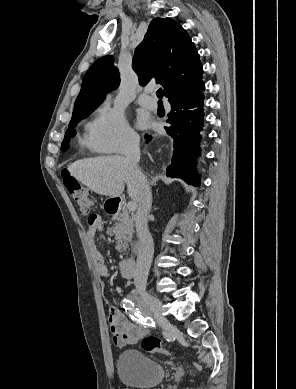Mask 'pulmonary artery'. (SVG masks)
<instances>
[{
	"label": "pulmonary artery",
	"mask_w": 296,
	"mask_h": 389,
	"mask_svg": "<svg viewBox=\"0 0 296 389\" xmlns=\"http://www.w3.org/2000/svg\"><path fill=\"white\" fill-rule=\"evenodd\" d=\"M151 89H145L142 94L138 97V102L143 107L149 108V109H155L156 108V100L153 96H151Z\"/></svg>",
	"instance_id": "pulmonary-artery-1"
}]
</instances>
